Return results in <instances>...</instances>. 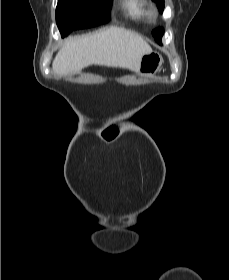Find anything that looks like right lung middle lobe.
I'll list each match as a JSON object with an SVG mask.
<instances>
[{
	"label": "right lung middle lobe",
	"mask_w": 229,
	"mask_h": 280,
	"mask_svg": "<svg viewBox=\"0 0 229 280\" xmlns=\"http://www.w3.org/2000/svg\"><path fill=\"white\" fill-rule=\"evenodd\" d=\"M111 4L112 0H58L56 22L62 37L109 22Z\"/></svg>",
	"instance_id": "obj_1"
}]
</instances>
